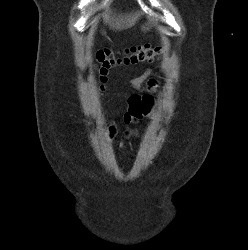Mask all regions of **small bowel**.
Masks as SVG:
<instances>
[{"label": "small bowel", "instance_id": "c3829d8e", "mask_svg": "<svg viewBox=\"0 0 248 250\" xmlns=\"http://www.w3.org/2000/svg\"><path fill=\"white\" fill-rule=\"evenodd\" d=\"M148 74H149V72H147V73H145L143 76H141V77L135 79L134 82H133L134 85L137 86V87L142 86V84H143V82H144V79L146 78V76H147ZM135 118H136V116L132 113L131 110H129V112H127V113L125 114V121H126L127 123L131 122V121H132L133 119H135ZM110 133H111V134L114 133V128H113V127L110 128Z\"/></svg>", "mask_w": 248, "mask_h": 250}]
</instances>
